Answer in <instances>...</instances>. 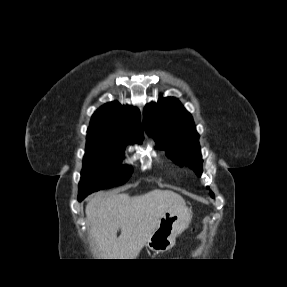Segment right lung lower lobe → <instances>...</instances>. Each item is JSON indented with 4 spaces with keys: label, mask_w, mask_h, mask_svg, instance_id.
Wrapping results in <instances>:
<instances>
[{
    "label": "right lung lower lobe",
    "mask_w": 287,
    "mask_h": 287,
    "mask_svg": "<svg viewBox=\"0 0 287 287\" xmlns=\"http://www.w3.org/2000/svg\"><path fill=\"white\" fill-rule=\"evenodd\" d=\"M87 195H81V196H78V201H82Z\"/></svg>",
    "instance_id": "98d812e1"
}]
</instances>
